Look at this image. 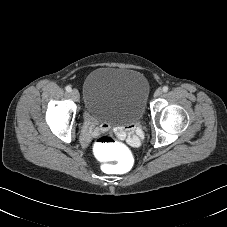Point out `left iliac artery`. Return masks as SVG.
<instances>
[{"instance_id":"obj_1","label":"left iliac artery","mask_w":227,"mask_h":227,"mask_svg":"<svg viewBox=\"0 0 227 227\" xmlns=\"http://www.w3.org/2000/svg\"><path fill=\"white\" fill-rule=\"evenodd\" d=\"M162 90H163L164 92H167V91L169 90V88H168V86H164V87L162 88Z\"/></svg>"}]
</instances>
